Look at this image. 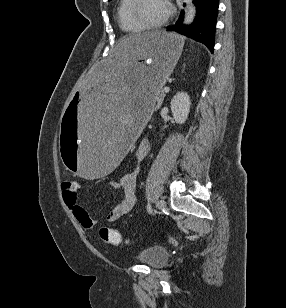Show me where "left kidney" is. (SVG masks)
<instances>
[{
    "instance_id": "obj_1",
    "label": "left kidney",
    "mask_w": 286,
    "mask_h": 308,
    "mask_svg": "<svg viewBox=\"0 0 286 308\" xmlns=\"http://www.w3.org/2000/svg\"><path fill=\"white\" fill-rule=\"evenodd\" d=\"M191 101L187 93L179 92L171 100L170 107L175 121L185 123L190 112Z\"/></svg>"
}]
</instances>
